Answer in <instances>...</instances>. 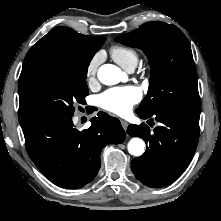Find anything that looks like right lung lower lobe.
<instances>
[{
	"label": "right lung lower lobe",
	"instance_id": "98d812e1",
	"mask_svg": "<svg viewBox=\"0 0 221 221\" xmlns=\"http://www.w3.org/2000/svg\"><path fill=\"white\" fill-rule=\"evenodd\" d=\"M73 115H52L21 124L25 147L36 167L54 184L76 189L91 182L107 144H119L126 134L117 118L99 112L91 127L77 130Z\"/></svg>",
	"mask_w": 221,
	"mask_h": 221
}]
</instances>
